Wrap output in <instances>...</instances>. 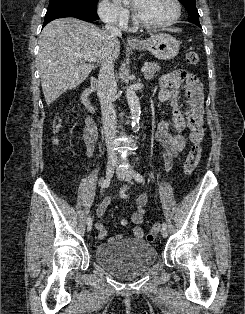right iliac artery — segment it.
Here are the masks:
<instances>
[{"label":"right iliac artery","instance_id":"82829eb1","mask_svg":"<svg viewBox=\"0 0 245 314\" xmlns=\"http://www.w3.org/2000/svg\"><path fill=\"white\" fill-rule=\"evenodd\" d=\"M109 184H110V179H107V180H104L102 183H101V185H100V187L103 189V188H107L108 186H109ZM90 222H92V219H91V217L89 216L88 218H87V224H89Z\"/></svg>","mask_w":245,"mask_h":314}]
</instances>
